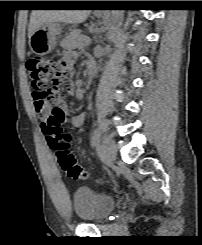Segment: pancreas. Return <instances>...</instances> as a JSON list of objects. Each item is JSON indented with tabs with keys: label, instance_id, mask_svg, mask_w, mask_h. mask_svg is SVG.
<instances>
[{
	"label": "pancreas",
	"instance_id": "pancreas-1",
	"mask_svg": "<svg viewBox=\"0 0 202 245\" xmlns=\"http://www.w3.org/2000/svg\"><path fill=\"white\" fill-rule=\"evenodd\" d=\"M86 37L80 30H72L61 42L63 48H82L86 46Z\"/></svg>",
	"mask_w": 202,
	"mask_h": 245
}]
</instances>
